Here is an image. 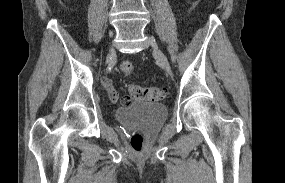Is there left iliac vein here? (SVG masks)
<instances>
[{"mask_svg": "<svg viewBox=\"0 0 285 183\" xmlns=\"http://www.w3.org/2000/svg\"><path fill=\"white\" fill-rule=\"evenodd\" d=\"M148 42L150 43L153 52L155 54V56L157 57L160 65L167 71L168 74H172L171 72V68H170V64L166 58V56L164 55V53L159 49L157 43L155 42V40L152 37H148L147 38Z\"/></svg>", "mask_w": 285, "mask_h": 183, "instance_id": "4c4485c4", "label": "left iliac vein"}]
</instances>
